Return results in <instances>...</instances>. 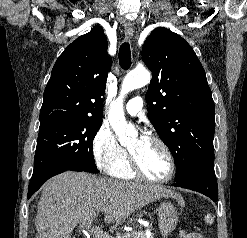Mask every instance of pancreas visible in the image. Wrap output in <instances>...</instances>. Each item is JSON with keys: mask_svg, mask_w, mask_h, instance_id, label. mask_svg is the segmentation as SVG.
Returning a JSON list of instances; mask_svg holds the SVG:
<instances>
[{"mask_svg": "<svg viewBox=\"0 0 247 238\" xmlns=\"http://www.w3.org/2000/svg\"><path fill=\"white\" fill-rule=\"evenodd\" d=\"M117 238H154L153 234L147 237V234L143 231H134L131 233H125Z\"/></svg>", "mask_w": 247, "mask_h": 238, "instance_id": "cf45deb5", "label": "pancreas"}]
</instances>
